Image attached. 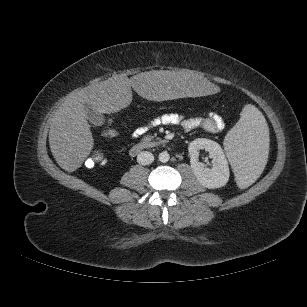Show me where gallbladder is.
I'll list each match as a JSON object with an SVG mask.
<instances>
[{
  "mask_svg": "<svg viewBox=\"0 0 307 307\" xmlns=\"http://www.w3.org/2000/svg\"><path fill=\"white\" fill-rule=\"evenodd\" d=\"M87 119L96 126H101L105 118L99 112L92 110L91 108H87Z\"/></svg>",
  "mask_w": 307,
  "mask_h": 307,
  "instance_id": "gallbladder-1",
  "label": "gallbladder"
}]
</instances>
